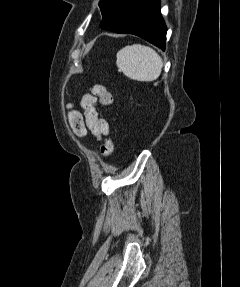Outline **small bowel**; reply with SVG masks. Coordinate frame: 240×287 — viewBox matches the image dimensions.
I'll return each mask as SVG.
<instances>
[{"label":"small bowel","mask_w":240,"mask_h":287,"mask_svg":"<svg viewBox=\"0 0 240 287\" xmlns=\"http://www.w3.org/2000/svg\"><path fill=\"white\" fill-rule=\"evenodd\" d=\"M80 106L84 112L85 127L97 139L101 140L109 134L108 122L97 111L98 99L90 94H84L80 99Z\"/></svg>","instance_id":"1"}]
</instances>
